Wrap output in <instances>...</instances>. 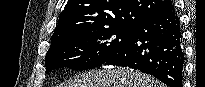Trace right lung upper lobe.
<instances>
[{"label": "right lung upper lobe", "mask_w": 205, "mask_h": 87, "mask_svg": "<svg viewBox=\"0 0 205 87\" xmlns=\"http://www.w3.org/2000/svg\"><path fill=\"white\" fill-rule=\"evenodd\" d=\"M171 5L170 0H68L51 44L82 32L106 28L135 29Z\"/></svg>", "instance_id": "obj_1"}]
</instances>
